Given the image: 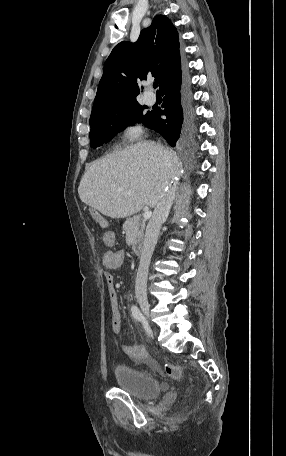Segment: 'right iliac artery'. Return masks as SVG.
I'll return each mask as SVG.
<instances>
[{"mask_svg": "<svg viewBox=\"0 0 286 456\" xmlns=\"http://www.w3.org/2000/svg\"><path fill=\"white\" fill-rule=\"evenodd\" d=\"M131 313H132V316L134 317V319H136L137 321L142 320V318H143L142 313L140 312L139 308L136 305H133L131 307Z\"/></svg>", "mask_w": 286, "mask_h": 456, "instance_id": "1", "label": "right iliac artery"}]
</instances>
